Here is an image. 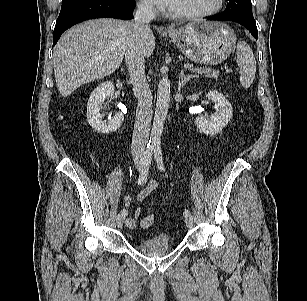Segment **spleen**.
Returning <instances> with one entry per match:
<instances>
[{"label":"spleen","mask_w":307,"mask_h":301,"mask_svg":"<svg viewBox=\"0 0 307 301\" xmlns=\"http://www.w3.org/2000/svg\"><path fill=\"white\" fill-rule=\"evenodd\" d=\"M237 65L242 87L249 88L255 78L256 61L252 49L245 41L237 44Z\"/></svg>","instance_id":"1"}]
</instances>
